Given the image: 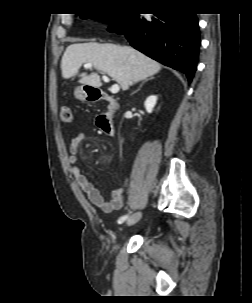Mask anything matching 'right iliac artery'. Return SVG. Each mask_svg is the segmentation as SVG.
I'll return each instance as SVG.
<instances>
[{"mask_svg":"<svg viewBox=\"0 0 252 303\" xmlns=\"http://www.w3.org/2000/svg\"><path fill=\"white\" fill-rule=\"evenodd\" d=\"M129 215H125V216H122L119 220H118V223L121 224L122 222H124L127 218H128Z\"/></svg>","mask_w":252,"mask_h":303,"instance_id":"1","label":"right iliac artery"}]
</instances>
